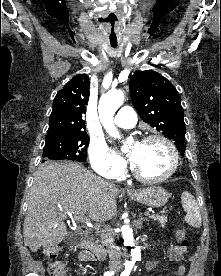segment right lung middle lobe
<instances>
[{
  "label": "right lung middle lobe",
  "mask_w": 221,
  "mask_h": 276,
  "mask_svg": "<svg viewBox=\"0 0 221 276\" xmlns=\"http://www.w3.org/2000/svg\"><path fill=\"white\" fill-rule=\"evenodd\" d=\"M88 144L86 132L46 136L42 162L60 159L84 162Z\"/></svg>",
  "instance_id": "obj_1"
}]
</instances>
